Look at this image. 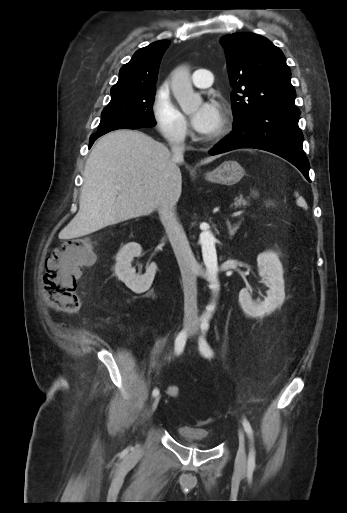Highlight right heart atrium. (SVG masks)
<instances>
[{"label":"right heart atrium","mask_w":347,"mask_h":513,"mask_svg":"<svg viewBox=\"0 0 347 513\" xmlns=\"http://www.w3.org/2000/svg\"><path fill=\"white\" fill-rule=\"evenodd\" d=\"M151 114L157 131L169 143L179 144L189 135L185 115L175 104L168 82L161 83L151 101Z\"/></svg>","instance_id":"obj_1"}]
</instances>
